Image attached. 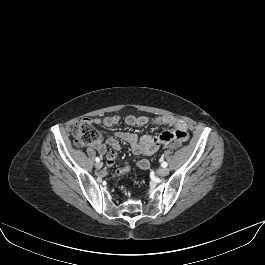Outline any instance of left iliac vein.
<instances>
[{"instance_id":"obj_1","label":"left iliac vein","mask_w":265,"mask_h":265,"mask_svg":"<svg viewBox=\"0 0 265 265\" xmlns=\"http://www.w3.org/2000/svg\"><path fill=\"white\" fill-rule=\"evenodd\" d=\"M168 173H169V169L166 167H162V168L158 169V171H157V174L159 176H166V175H168Z\"/></svg>"}]
</instances>
